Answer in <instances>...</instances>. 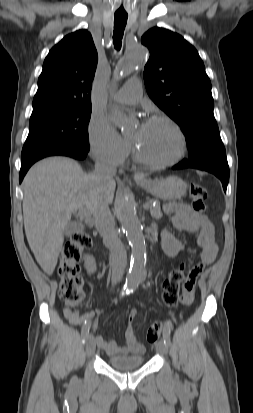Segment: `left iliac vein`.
<instances>
[{"label": "left iliac vein", "mask_w": 253, "mask_h": 413, "mask_svg": "<svg viewBox=\"0 0 253 413\" xmlns=\"http://www.w3.org/2000/svg\"><path fill=\"white\" fill-rule=\"evenodd\" d=\"M156 350L157 352L161 353V354H166L168 351V346L164 343V340H159L156 343Z\"/></svg>", "instance_id": "1"}]
</instances>
